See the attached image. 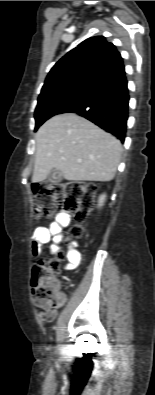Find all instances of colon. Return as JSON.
<instances>
[{
  "mask_svg": "<svg viewBox=\"0 0 155 395\" xmlns=\"http://www.w3.org/2000/svg\"><path fill=\"white\" fill-rule=\"evenodd\" d=\"M96 195L94 184L84 181H62L56 183H37L33 186V211L36 218L50 216L60 207L74 215L76 225L69 229V239L82 236L81 224L93 209ZM63 254L57 252L50 257L40 258L31 273L33 301L42 309L59 307L64 296L58 291L56 277L60 269Z\"/></svg>",
  "mask_w": 155,
  "mask_h": 395,
  "instance_id": "colon-1",
  "label": "colon"
}]
</instances>
